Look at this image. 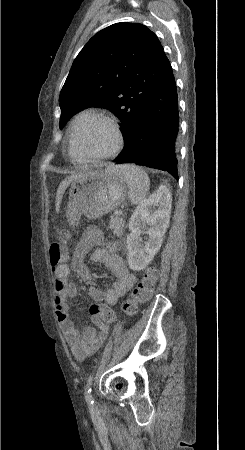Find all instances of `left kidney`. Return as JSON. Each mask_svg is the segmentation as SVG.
<instances>
[{
  "label": "left kidney",
  "mask_w": 245,
  "mask_h": 450,
  "mask_svg": "<svg viewBox=\"0 0 245 450\" xmlns=\"http://www.w3.org/2000/svg\"><path fill=\"white\" fill-rule=\"evenodd\" d=\"M171 204L169 189L161 185L134 210L129 221L131 233L126 240L131 270L141 271L146 268L159 251L169 224ZM142 234H148L147 241H142Z\"/></svg>",
  "instance_id": "5707ae66"
}]
</instances>
